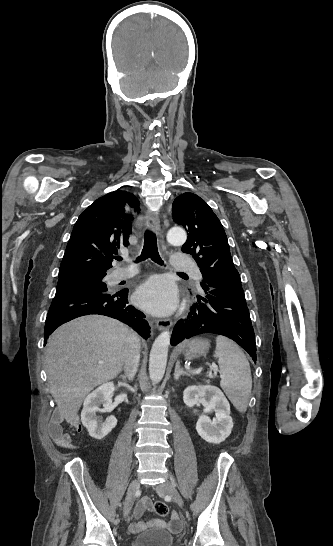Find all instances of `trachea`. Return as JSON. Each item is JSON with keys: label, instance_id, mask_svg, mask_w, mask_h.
Returning a JSON list of instances; mask_svg holds the SVG:
<instances>
[{"label": "trachea", "instance_id": "3493384b", "mask_svg": "<svg viewBox=\"0 0 333 546\" xmlns=\"http://www.w3.org/2000/svg\"><path fill=\"white\" fill-rule=\"evenodd\" d=\"M148 258H151L155 263H158L160 265L164 264L158 252L156 235L150 230H147L145 233L144 246L141 255L137 258V262L146 260ZM117 260L121 261L122 257H117Z\"/></svg>", "mask_w": 333, "mask_h": 546}]
</instances>
